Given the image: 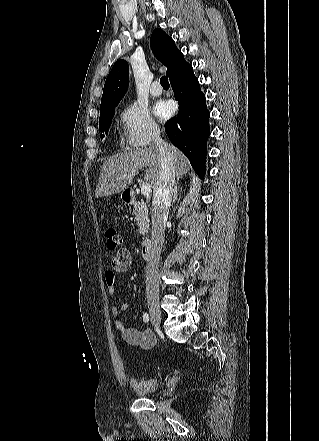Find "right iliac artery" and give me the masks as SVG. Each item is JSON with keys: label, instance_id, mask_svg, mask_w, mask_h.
Returning <instances> with one entry per match:
<instances>
[{"label": "right iliac artery", "instance_id": "obj_1", "mask_svg": "<svg viewBox=\"0 0 319 441\" xmlns=\"http://www.w3.org/2000/svg\"><path fill=\"white\" fill-rule=\"evenodd\" d=\"M143 321H144L145 323H148V322H149V315H148L147 313H144V314H143Z\"/></svg>", "mask_w": 319, "mask_h": 441}]
</instances>
